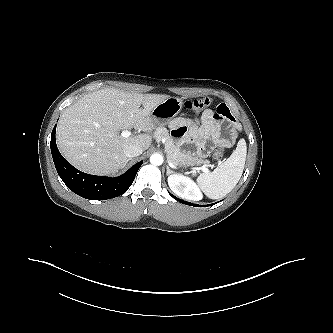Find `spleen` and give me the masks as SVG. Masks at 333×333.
Returning <instances> with one entry per match:
<instances>
[{
    "mask_svg": "<svg viewBox=\"0 0 333 333\" xmlns=\"http://www.w3.org/2000/svg\"><path fill=\"white\" fill-rule=\"evenodd\" d=\"M246 154V141L240 139L236 149L225 162L214 171L198 176L197 183L208 198H223L233 190L242 176Z\"/></svg>",
    "mask_w": 333,
    "mask_h": 333,
    "instance_id": "1",
    "label": "spleen"
}]
</instances>
